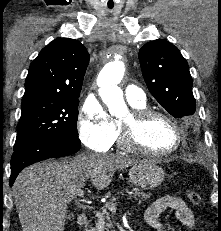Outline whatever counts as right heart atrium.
I'll return each instance as SVG.
<instances>
[{"mask_svg": "<svg viewBox=\"0 0 221 231\" xmlns=\"http://www.w3.org/2000/svg\"><path fill=\"white\" fill-rule=\"evenodd\" d=\"M78 129L81 142L95 151L109 149L117 137L115 121L93 97H87L80 108Z\"/></svg>", "mask_w": 221, "mask_h": 231, "instance_id": "1", "label": "right heart atrium"}]
</instances>
